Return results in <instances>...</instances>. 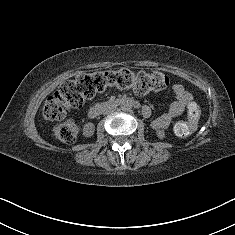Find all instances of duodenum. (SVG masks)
<instances>
[{
    "instance_id": "duodenum-1",
    "label": "duodenum",
    "mask_w": 235,
    "mask_h": 235,
    "mask_svg": "<svg viewBox=\"0 0 235 235\" xmlns=\"http://www.w3.org/2000/svg\"><path fill=\"white\" fill-rule=\"evenodd\" d=\"M123 103H128L134 107H138L139 105L137 101L132 100L130 98H120V99L109 101L105 104H95L91 106L89 109V116L94 118L98 116L102 112L103 109L110 107V106H114V105H120Z\"/></svg>"
}]
</instances>
